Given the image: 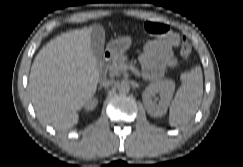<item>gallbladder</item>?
<instances>
[{
    "label": "gallbladder",
    "mask_w": 243,
    "mask_h": 167,
    "mask_svg": "<svg viewBox=\"0 0 243 167\" xmlns=\"http://www.w3.org/2000/svg\"><path fill=\"white\" fill-rule=\"evenodd\" d=\"M105 33L102 27L94 26L91 33V48L97 62L101 61L104 49Z\"/></svg>",
    "instance_id": "1"
}]
</instances>
